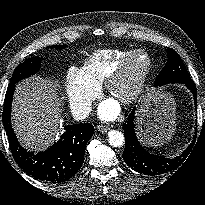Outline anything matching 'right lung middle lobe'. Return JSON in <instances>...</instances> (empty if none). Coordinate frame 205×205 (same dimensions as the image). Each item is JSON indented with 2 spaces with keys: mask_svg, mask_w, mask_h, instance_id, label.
Instances as JSON below:
<instances>
[{
  "mask_svg": "<svg viewBox=\"0 0 205 205\" xmlns=\"http://www.w3.org/2000/svg\"><path fill=\"white\" fill-rule=\"evenodd\" d=\"M50 47L56 49H64L66 45H54ZM40 64V57H32L30 59H27L23 63L19 64L14 70L9 86L15 85L21 79L27 78L30 75L35 74L40 68Z\"/></svg>",
  "mask_w": 205,
  "mask_h": 205,
  "instance_id": "dd1d6c3e",
  "label": "right lung middle lobe"
}]
</instances>
